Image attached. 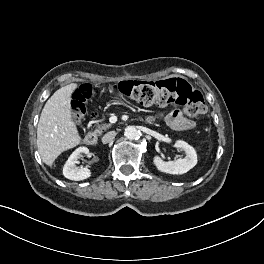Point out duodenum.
<instances>
[{
  "instance_id": "410a0bca",
  "label": "duodenum",
  "mask_w": 264,
  "mask_h": 264,
  "mask_svg": "<svg viewBox=\"0 0 264 264\" xmlns=\"http://www.w3.org/2000/svg\"><path fill=\"white\" fill-rule=\"evenodd\" d=\"M84 141L87 145L94 146L98 142V136L96 133L90 132L86 134Z\"/></svg>"
}]
</instances>
